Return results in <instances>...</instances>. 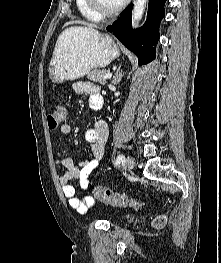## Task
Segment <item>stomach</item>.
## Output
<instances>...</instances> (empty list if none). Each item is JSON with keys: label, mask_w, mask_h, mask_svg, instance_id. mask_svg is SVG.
<instances>
[{"label": "stomach", "mask_w": 221, "mask_h": 263, "mask_svg": "<svg viewBox=\"0 0 221 263\" xmlns=\"http://www.w3.org/2000/svg\"><path fill=\"white\" fill-rule=\"evenodd\" d=\"M120 54L107 34L82 27L66 29L59 36L49 63V78L54 83L79 79L93 68L106 67Z\"/></svg>", "instance_id": "1"}]
</instances>
